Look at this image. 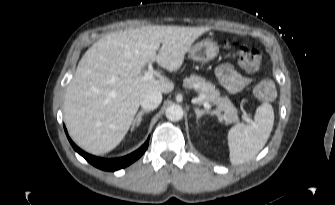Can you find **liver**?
<instances>
[{
    "mask_svg": "<svg viewBox=\"0 0 335 205\" xmlns=\"http://www.w3.org/2000/svg\"><path fill=\"white\" fill-rule=\"evenodd\" d=\"M208 30L147 25L110 33L95 42L66 89L64 116L73 141L94 155L113 150L127 134L141 95L149 89L161 93L174 89L164 77L144 80L145 65L156 61L167 71H178L194 41Z\"/></svg>",
    "mask_w": 335,
    "mask_h": 205,
    "instance_id": "liver-1",
    "label": "liver"
}]
</instances>
